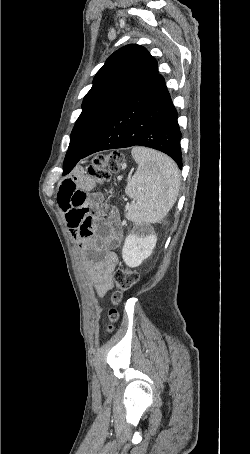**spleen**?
Segmentation results:
<instances>
[{
  "label": "spleen",
  "mask_w": 250,
  "mask_h": 454,
  "mask_svg": "<svg viewBox=\"0 0 250 454\" xmlns=\"http://www.w3.org/2000/svg\"><path fill=\"white\" fill-rule=\"evenodd\" d=\"M132 156L138 168L125 193L133 201L125 217L135 223L160 222L177 200L180 173L175 162L157 151L134 147Z\"/></svg>",
  "instance_id": "spleen-1"
}]
</instances>
